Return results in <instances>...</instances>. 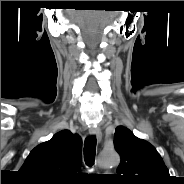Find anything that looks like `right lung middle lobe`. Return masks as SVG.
Segmentation results:
<instances>
[{
  "label": "right lung middle lobe",
  "mask_w": 184,
  "mask_h": 184,
  "mask_svg": "<svg viewBox=\"0 0 184 184\" xmlns=\"http://www.w3.org/2000/svg\"><path fill=\"white\" fill-rule=\"evenodd\" d=\"M33 183H37V184H45V183H41V182H33Z\"/></svg>",
  "instance_id": "right-lung-middle-lobe-1"
}]
</instances>
